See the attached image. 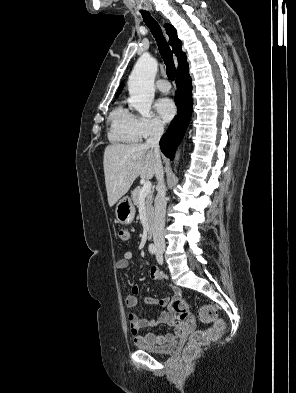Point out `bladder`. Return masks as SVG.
<instances>
[{
  "label": "bladder",
  "mask_w": 296,
  "mask_h": 393,
  "mask_svg": "<svg viewBox=\"0 0 296 393\" xmlns=\"http://www.w3.org/2000/svg\"><path fill=\"white\" fill-rule=\"evenodd\" d=\"M176 346H177V343H176V341L173 340V341H171V342L167 343L166 345L159 347V348H155V347L145 345V344L139 345V348L143 351H146V352H149L152 354L167 355V354L172 353L175 350Z\"/></svg>",
  "instance_id": "1"
}]
</instances>
